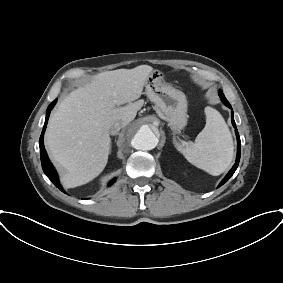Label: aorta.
I'll use <instances>...</instances> for the list:
<instances>
[{
  "label": "aorta",
  "instance_id": "1",
  "mask_svg": "<svg viewBox=\"0 0 283 283\" xmlns=\"http://www.w3.org/2000/svg\"><path fill=\"white\" fill-rule=\"evenodd\" d=\"M131 144L137 150H152L157 146L158 138L147 125H141L132 131Z\"/></svg>",
  "mask_w": 283,
  "mask_h": 283
}]
</instances>
